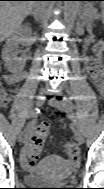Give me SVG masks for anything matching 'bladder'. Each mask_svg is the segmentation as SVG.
Here are the masks:
<instances>
[{
  "mask_svg": "<svg viewBox=\"0 0 104 189\" xmlns=\"http://www.w3.org/2000/svg\"><path fill=\"white\" fill-rule=\"evenodd\" d=\"M77 165L56 155H49L40 164L29 170L25 181L31 185H47L63 183L75 170Z\"/></svg>",
  "mask_w": 104,
  "mask_h": 189,
  "instance_id": "bladder-1",
  "label": "bladder"
}]
</instances>
